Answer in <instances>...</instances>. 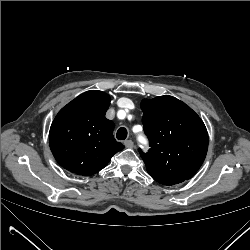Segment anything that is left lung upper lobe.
<instances>
[{"mask_svg": "<svg viewBox=\"0 0 250 250\" xmlns=\"http://www.w3.org/2000/svg\"><path fill=\"white\" fill-rule=\"evenodd\" d=\"M142 123L150 141L148 153L139 149L154 180L190 179L202 165L208 133L201 118L185 103L169 95L141 102Z\"/></svg>", "mask_w": 250, "mask_h": 250, "instance_id": "left-lung-upper-lobe-1", "label": "left lung upper lobe"}]
</instances>
